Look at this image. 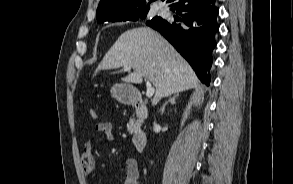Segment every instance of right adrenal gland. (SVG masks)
Here are the masks:
<instances>
[{
    "instance_id": "1",
    "label": "right adrenal gland",
    "mask_w": 293,
    "mask_h": 184,
    "mask_svg": "<svg viewBox=\"0 0 293 184\" xmlns=\"http://www.w3.org/2000/svg\"><path fill=\"white\" fill-rule=\"evenodd\" d=\"M177 97H179V93L174 94L172 97L169 98L168 101H166V102L163 104V106H162V107L160 108V110H159V112H160L161 115L164 113L165 108H166V105H167L168 103H170V104H172V105H173V104H176V99H177Z\"/></svg>"
}]
</instances>
